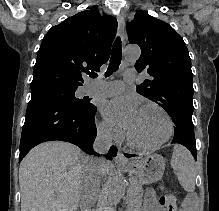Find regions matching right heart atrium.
<instances>
[{
	"instance_id": "1",
	"label": "right heart atrium",
	"mask_w": 219,
	"mask_h": 211,
	"mask_svg": "<svg viewBox=\"0 0 219 211\" xmlns=\"http://www.w3.org/2000/svg\"><path fill=\"white\" fill-rule=\"evenodd\" d=\"M97 130L100 139L108 143L119 142L122 137L121 131L107 121L98 123Z\"/></svg>"
}]
</instances>
